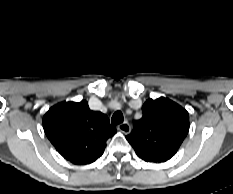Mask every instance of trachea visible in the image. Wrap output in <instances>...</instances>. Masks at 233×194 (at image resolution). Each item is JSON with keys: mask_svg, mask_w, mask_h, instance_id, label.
I'll return each mask as SVG.
<instances>
[{"mask_svg": "<svg viewBox=\"0 0 233 194\" xmlns=\"http://www.w3.org/2000/svg\"><path fill=\"white\" fill-rule=\"evenodd\" d=\"M123 120H124V118H123L122 112L116 111L111 118V123H112V125H117V124L122 123Z\"/></svg>", "mask_w": 233, "mask_h": 194, "instance_id": "1", "label": "trachea"}]
</instances>
